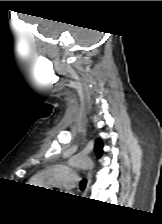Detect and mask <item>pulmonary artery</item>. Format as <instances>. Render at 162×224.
Listing matches in <instances>:
<instances>
[{"mask_svg":"<svg viewBox=\"0 0 162 224\" xmlns=\"http://www.w3.org/2000/svg\"><path fill=\"white\" fill-rule=\"evenodd\" d=\"M43 181L55 183L56 186L75 187L77 185V175L75 171L67 166H59L45 170Z\"/></svg>","mask_w":162,"mask_h":224,"instance_id":"e3ab8cb5","label":"pulmonary artery"}]
</instances>
